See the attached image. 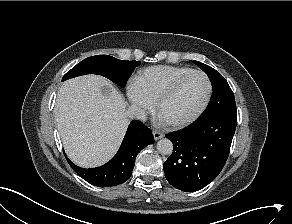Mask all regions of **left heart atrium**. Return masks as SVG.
I'll list each match as a JSON object with an SVG mask.
<instances>
[{"label": "left heart atrium", "mask_w": 292, "mask_h": 224, "mask_svg": "<svg viewBox=\"0 0 292 224\" xmlns=\"http://www.w3.org/2000/svg\"><path fill=\"white\" fill-rule=\"evenodd\" d=\"M161 123H167L162 117H159Z\"/></svg>", "instance_id": "39dd6f15"}]
</instances>
